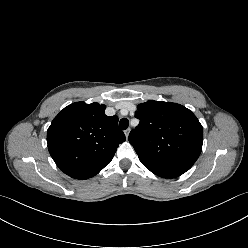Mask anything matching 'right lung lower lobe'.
I'll use <instances>...</instances> for the list:
<instances>
[{
  "label": "right lung lower lobe",
  "mask_w": 248,
  "mask_h": 248,
  "mask_svg": "<svg viewBox=\"0 0 248 248\" xmlns=\"http://www.w3.org/2000/svg\"><path fill=\"white\" fill-rule=\"evenodd\" d=\"M96 175V174H94ZM94 175H89V176H84V177H76L77 179H87V178H90V177H93Z\"/></svg>",
  "instance_id": "obj_1"
}]
</instances>
